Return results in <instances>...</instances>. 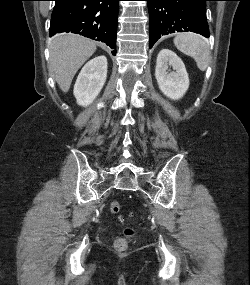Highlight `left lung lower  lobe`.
I'll return each instance as SVG.
<instances>
[{"mask_svg": "<svg viewBox=\"0 0 250 285\" xmlns=\"http://www.w3.org/2000/svg\"><path fill=\"white\" fill-rule=\"evenodd\" d=\"M150 18L149 47L163 35L190 31L209 37L206 1L209 0H145Z\"/></svg>", "mask_w": 250, "mask_h": 285, "instance_id": "obj_1", "label": "left lung lower lobe"}]
</instances>
